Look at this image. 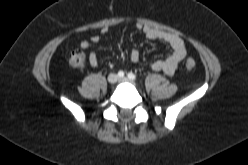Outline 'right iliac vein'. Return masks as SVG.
Returning <instances> with one entry per match:
<instances>
[{
	"instance_id": "63e3f726",
	"label": "right iliac vein",
	"mask_w": 248,
	"mask_h": 165,
	"mask_svg": "<svg viewBox=\"0 0 248 165\" xmlns=\"http://www.w3.org/2000/svg\"><path fill=\"white\" fill-rule=\"evenodd\" d=\"M118 80V76L114 73H111L109 76H108V82L111 83V84H114L116 83Z\"/></svg>"
}]
</instances>
